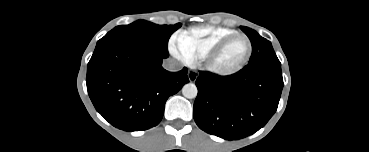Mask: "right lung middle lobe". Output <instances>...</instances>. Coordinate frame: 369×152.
I'll return each mask as SVG.
<instances>
[{
    "label": "right lung middle lobe",
    "mask_w": 369,
    "mask_h": 152,
    "mask_svg": "<svg viewBox=\"0 0 369 152\" xmlns=\"http://www.w3.org/2000/svg\"><path fill=\"white\" fill-rule=\"evenodd\" d=\"M180 27V23L157 25L149 21L137 20L129 25H120L112 29L97 42L96 48L114 41H131L146 45L155 52L168 56V40L171 34Z\"/></svg>",
    "instance_id": "dd1d6c3e"
}]
</instances>
